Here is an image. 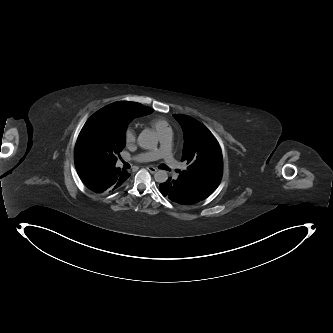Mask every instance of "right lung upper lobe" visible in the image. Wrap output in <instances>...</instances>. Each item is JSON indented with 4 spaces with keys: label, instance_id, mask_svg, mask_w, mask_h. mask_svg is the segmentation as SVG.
<instances>
[{
    "label": "right lung upper lobe",
    "instance_id": "obj_1",
    "mask_svg": "<svg viewBox=\"0 0 333 333\" xmlns=\"http://www.w3.org/2000/svg\"><path fill=\"white\" fill-rule=\"evenodd\" d=\"M108 109L114 110L118 113L125 112L129 116L134 118L147 115L153 112V110L149 107L143 106L136 102H128V101H120L115 102L107 106Z\"/></svg>",
    "mask_w": 333,
    "mask_h": 333
}]
</instances>
